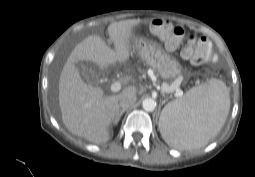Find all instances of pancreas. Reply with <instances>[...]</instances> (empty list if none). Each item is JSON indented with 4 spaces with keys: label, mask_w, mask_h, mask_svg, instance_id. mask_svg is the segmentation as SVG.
Segmentation results:
<instances>
[{
    "label": "pancreas",
    "mask_w": 255,
    "mask_h": 177,
    "mask_svg": "<svg viewBox=\"0 0 255 177\" xmlns=\"http://www.w3.org/2000/svg\"><path fill=\"white\" fill-rule=\"evenodd\" d=\"M167 87H172V86H169L168 84H164V85L162 86V91L165 92V88H167Z\"/></svg>",
    "instance_id": "obj_1"
}]
</instances>
